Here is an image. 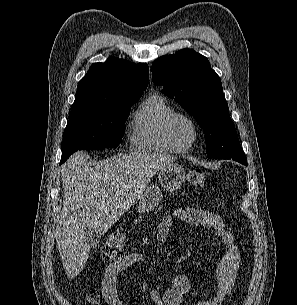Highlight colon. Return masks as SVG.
Here are the masks:
<instances>
[{"instance_id": "obj_1", "label": "colon", "mask_w": 297, "mask_h": 305, "mask_svg": "<svg viewBox=\"0 0 297 305\" xmlns=\"http://www.w3.org/2000/svg\"><path fill=\"white\" fill-rule=\"evenodd\" d=\"M189 180L194 186H202L206 181L205 173L201 169H193L189 174ZM127 247V237L123 229L112 230L103 247V256L105 261L113 262L121 260L124 257V251Z\"/></svg>"}]
</instances>
